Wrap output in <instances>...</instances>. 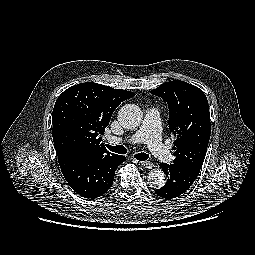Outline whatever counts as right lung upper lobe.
Returning <instances> with one entry per match:
<instances>
[{"instance_id":"obj_1","label":"right lung upper lobe","mask_w":255,"mask_h":255,"mask_svg":"<svg viewBox=\"0 0 255 255\" xmlns=\"http://www.w3.org/2000/svg\"><path fill=\"white\" fill-rule=\"evenodd\" d=\"M134 95L130 91L88 82L66 89L56 100L52 115L58 159L114 155L101 143V135L114 110Z\"/></svg>"}]
</instances>
